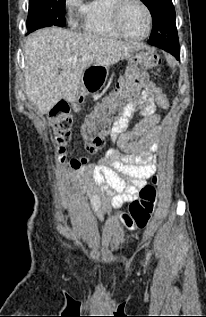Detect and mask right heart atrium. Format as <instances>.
Returning <instances> with one entry per match:
<instances>
[{
    "label": "right heart atrium",
    "mask_w": 206,
    "mask_h": 317,
    "mask_svg": "<svg viewBox=\"0 0 206 317\" xmlns=\"http://www.w3.org/2000/svg\"><path fill=\"white\" fill-rule=\"evenodd\" d=\"M64 5L69 12L72 23H74L79 17H82L85 5L84 0H65Z\"/></svg>",
    "instance_id": "right-heart-atrium-1"
}]
</instances>
